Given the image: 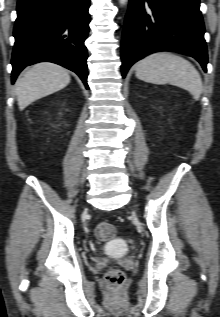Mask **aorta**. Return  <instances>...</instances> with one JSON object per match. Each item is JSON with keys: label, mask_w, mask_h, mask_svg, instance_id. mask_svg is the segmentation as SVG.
Instances as JSON below:
<instances>
[{"label": "aorta", "mask_w": 220, "mask_h": 317, "mask_svg": "<svg viewBox=\"0 0 220 317\" xmlns=\"http://www.w3.org/2000/svg\"><path fill=\"white\" fill-rule=\"evenodd\" d=\"M128 2V0H119L120 5H125Z\"/></svg>", "instance_id": "obj_1"}]
</instances>
